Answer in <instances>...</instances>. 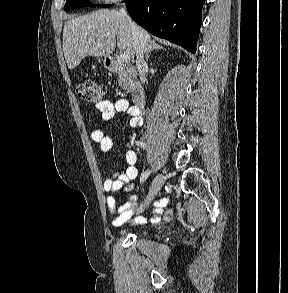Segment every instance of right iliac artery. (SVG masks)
<instances>
[{
    "label": "right iliac artery",
    "instance_id": "obj_1",
    "mask_svg": "<svg viewBox=\"0 0 288 293\" xmlns=\"http://www.w3.org/2000/svg\"><path fill=\"white\" fill-rule=\"evenodd\" d=\"M136 144L142 148H144L146 146L145 143H143L141 141H136ZM149 174H150L149 171H145L140 177V182L143 183L148 178Z\"/></svg>",
    "mask_w": 288,
    "mask_h": 293
}]
</instances>
